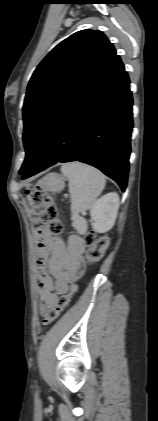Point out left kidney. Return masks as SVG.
Segmentation results:
<instances>
[{"label":"left kidney","mask_w":158,"mask_h":421,"mask_svg":"<svg viewBox=\"0 0 158 421\" xmlns=\"http://www.w3.org/2000/svg\"><path fill=\"white\" fill-rule=\"evenodd\" d=\"M119 208V195L115 192L108 193L99 198L92 206L91 225L95 232L105 233L115 223Z\"/></svg>","instance_id":"obj_1"}]
</instances>
